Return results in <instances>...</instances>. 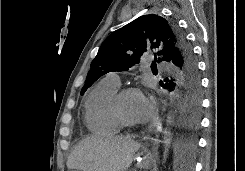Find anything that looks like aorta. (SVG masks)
Listing matches in <instances>:
<instances>
[{"mask_svg": "<svg viewBox=\"0 0 245 171\" xmlns=\"http://www.w3.org/2000/svg\"><path fill=\"white\" fill-rule=\"evenodd\" d=\"M172 101L175 104L177 101V94L174 93L172 95ZM176 121V112L174 110H170L167 119L166 124L167 127L163 131V143H164V152H163V161L162 163L166 162V159L168 157V151L172 142L173 133L171 132L170 126H172Z\"/></svg>", "mask_w": 245, "mask_h": 171, "instance_id": "aorta-1", "label": "aorta"}]
</instances>
